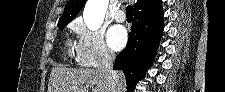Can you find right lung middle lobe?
I'll return each mask as SVG.
<instances>
[{
  "label": "right lung middle lobe",
  "mask_w": 225,
  "mask_h": 92,
  "mask_svg": "<svg viewBox=\"0 0 225 92\" xmlns=\"http://www.w3.org/2000/svg\"><path fill=\"white\" fill-rule=\"evenodd\" d=\"M68 23H69V22H60V23H58L59 29H60V30L63 29L64 26H66Z\"/></svg>",
  "instance_id": "1"
}]
</instances>
